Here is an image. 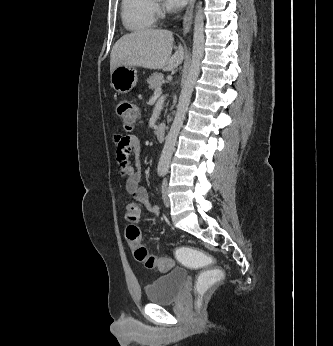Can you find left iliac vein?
<instances>
[{
	"label": "left iliac vein",
	"mask_w": 333,
	"mask_h": 346,
	"mask_svg": "<svg viewBox=\"0 0 333 346\" xmlns=\"http://www.w3.org/2000/svg\"><path fill=\"white\" fill-rule=\"evenodd\" d=\"M162 198H163L164 205L166 207H169L170 206V199H169V196H168L167 180H164L163 184H162Z\"/></svg>",
	"instance_id": "4c4485c4"
}]
</instances>
